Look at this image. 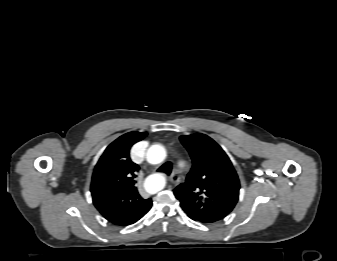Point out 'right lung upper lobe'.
Instances as JSON below:
<instances>
[{
  "mask_svg": "<svg viewBox=\"0 0 337 261\" xmlns=\"http://www.w3.org/2000/svg\"><path fill=\"white\" fill-rule=\"evenodd\" d=\"M146 132H129L112 142L95 166L91 182L93 203L115 225L133 224L151 208L152 200L143 199L137 190L139 166L130 159V148Z\"/></svg>",
  "mask_w": 337,
  "mask_h": 261,
  "instance_id": "1",
  "label": "right lung upper lobe"
}]
</instances>
